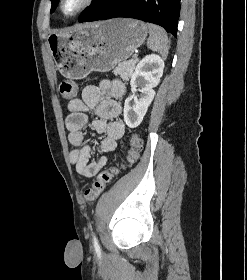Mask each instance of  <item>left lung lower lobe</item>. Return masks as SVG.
<instances>
[{"instance_id": "1", "label": "left lung lower lobe", "mask_w": 247, "mask_h": 280, "mask_svg": "<svg viewBox=\"0 0 247 280\" xmlns=\"http://www.w3.org/2000/svg\"><path fill=\"white\" fill-rule=\"evenodd\" d=\"M180 0H108L79 22L128 17L162 26L176 37Z\"/></svg>"}]
</instances>
